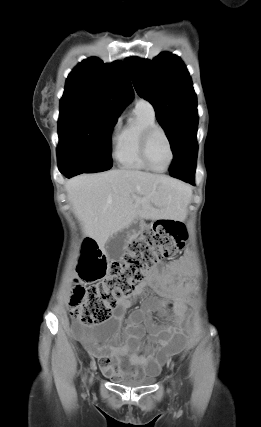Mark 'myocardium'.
I'll return each instance as SVG.
<instances>
[{
	"instance_id": "f54148a6",
	"label": "myocardium",
	"mask_w": 261,
	"mask_h": 427,
	"mask_svg": "<svg viewBox=\"0 0 261 427\" xmlns=\"http://www.w3.org/2000/svg\"><path fill=\"white\" fill-rule=\"evenodd\" d=\"M157 133H160L163 135V137L165 138V140L168 144L169 151H170L169 161H168L166 167L163 169L155 168L151 164V162L149 160V156H148L150 141H151L152 137ZM140 157H141L143 163L148 167V169H150L154 172L161 173V172H165L169 169V167L171 166V164L173 163V160H174V149H173V144L171 142L169 135L167 134V132L163 128L156 125V126L149 127L143 131L141 138H140Z\"/></svg>"
}]
</instances>
